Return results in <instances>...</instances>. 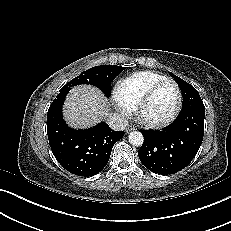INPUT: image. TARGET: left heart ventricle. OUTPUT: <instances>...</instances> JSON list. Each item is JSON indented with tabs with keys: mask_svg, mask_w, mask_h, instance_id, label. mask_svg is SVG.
Returning <instances> with one entry per match:
<instances>
[{
	"mask_svg": "<svg viewBox=\"0 0 231 231\" xmlns=\"http://www.w3.org/2000/svg\"><path fill=\"white\" fill-rule=\"evenodd\" d=\"M177 93L173 84L161 85L147 102L143 115L151 120H161L167 117L176 104Z\"/></svg>",
	"mask_w": 231,
	"mask_h": 231,
	"instance_id": "left-heart-ventricle-1",
	"label": "left heart ventricle"
}]
</instances>
